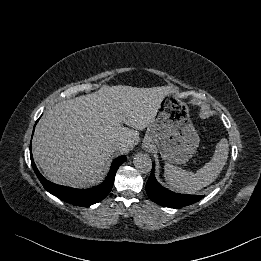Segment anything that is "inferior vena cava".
<instances>
[{
    "label": "inferior vena cava",
    "mask_w": 261,
    "mask_h": 261,
    "mask_svg": "<svg viewBox=\"0 0 261 261\" xmlns=\"http://www.w3.org/2000/svg\"><path fill=\"white\" fill-rule=\"evenodd\" d=\"M120 146H121V143H120V142H116V143H114V144L112 145V149H113V150H118V149L120 148Z\"/></svg>",
    "instance_id": "1"
}]
</instances>
